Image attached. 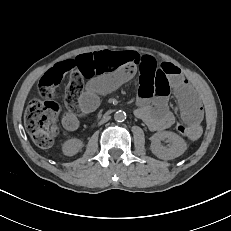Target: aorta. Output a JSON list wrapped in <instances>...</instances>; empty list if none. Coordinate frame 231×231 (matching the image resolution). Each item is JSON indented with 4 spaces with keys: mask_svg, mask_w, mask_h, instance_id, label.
<instances>
[{
    "mask_svg": "<svg viewBox=\"0 0 231 231\" xmlns=\"http://www.w3.org/2000/svg\"><path fill=\"white\" fill-rule=\"evenodd\" d=\"M114 119L117 122H123L126 119V113L122 110H119V111L115 112Z\"/></svg>",
    "mask_w": 231,
    "mask_h": 231,
    "instance_id": "762f6f07",
    "label": "aorta"
}]
</instances>
